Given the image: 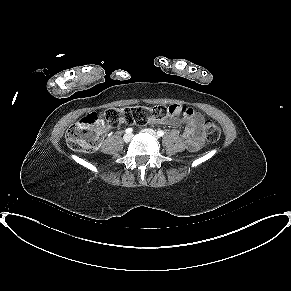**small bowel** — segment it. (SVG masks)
I'll use <instances>...</instances> for the list:
<instances>
[{
	"label": "small bowel",
	"mask_w": 291,
	"mask_h": 291,
	"mask_svg": "<svg viewBox=\"0 0 291 291\" xmlns=\"http://www.w3.org/2000/svg\"><path fill=\"white\" fill-rule=\"evenodd\" d=\"M180 113L182 114L181 117H166L162 120L153 119L151 121L160 122L172 127L184 125L182 140L188 151L195 152L199 150L204 143V119L190 107H186V110Z\"/></svg>",
	"instance_id": "c3829d8e"
}]
</instances>
